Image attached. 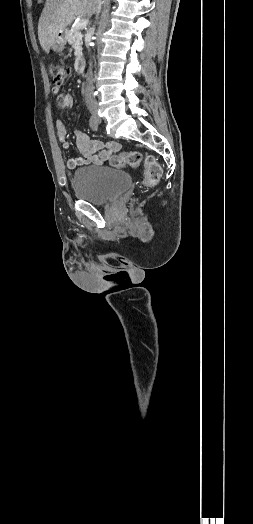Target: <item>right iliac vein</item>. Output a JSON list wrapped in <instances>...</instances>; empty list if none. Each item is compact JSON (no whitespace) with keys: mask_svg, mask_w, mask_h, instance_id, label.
I'll use <instances>...</instances> for the list:
<instances>
[{"mask_svg":"<svg viewBox=\"0 0 253 524\" xmlns=\"http://www.w3.org/2000/svg\"><path fill=\"white\" fill-rule=\"evenodd\" d=\"M92 113H93V114H96V110H95V109H93V110H92Z\"/></svg>","mask_w":253,"mask_h":524,"instance_id":"63e3f726","label":"right iliac vein"}]
</instances>
